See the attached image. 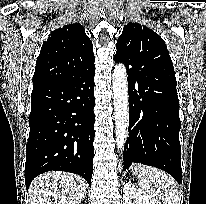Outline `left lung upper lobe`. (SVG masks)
<instances>
[{
    "label": "left lung upper lobe",
    "instance_id": "1",
    "mask_svg": "<svg viewBox=\"0 0 206 204\" xmlns=\"http://www.w3.org/2000/svg\"><path fill=\"white\" fill-rule=\"evenodd\" d=\"M115 58L128 67H162L174 76V68L161 37L139 23H129L117 40Z\"/></svg>",
    "mask_w": 206,
    "mask_h": 204
}]
</instances>
